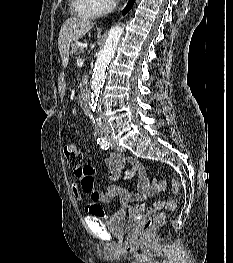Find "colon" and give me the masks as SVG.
Here are the masks:
<instances>
[{
    "label": "colon",
    "mask_w": 233,
    "mask_h": 263,
    "mask_svg": "<svg viewBox=\"0 0 233 263\" xmlns=\"http://www.w3.org/2000/svg\"><path fill=\"white\" fill-rule=\"evenodd\" d=\"M64 153H65L68 165L72 169H74L75 173L79 174V173L89 172L88 169H85L83 168V166H81L82 153L79 147L75 143L73 142L67 143L64 147ZM166 185L167 183L164 180L162 181L153 180L152 182V186L155 191L164 190L166 188ZM179 190H180V185L178 181H174L173 186H172V193L177 194ZM164 208L171 211L175 208V203L172 200H168L166 201ZM164 219H165V214L162 212L156 213L153 216H151L143 224L142 234L148 235L157 225L162 223Z\"/></svg>",
    "instance_id": "5ec220e1"
}]
</instances>
